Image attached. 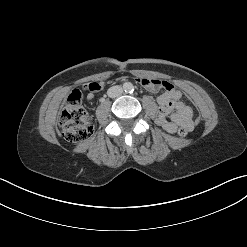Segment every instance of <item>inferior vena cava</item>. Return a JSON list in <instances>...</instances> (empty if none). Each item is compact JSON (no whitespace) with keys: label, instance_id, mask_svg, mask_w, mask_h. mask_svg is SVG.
<instances>
[{"label":"inferior vena cava","instance_id":"obj_1","mask_svg":"<svg viewBox=\"0 0 247 247\" xmlns=\"http://www.w3.org/2000/svg\"><path fill=\"white\" fill-rule=\"evenodd\" d=\"M123 93V88L121 86H112L108 89L107 94L110 98H115Z\"/></svg>","mask_w":247,"mask_h":247}]
</instances>
